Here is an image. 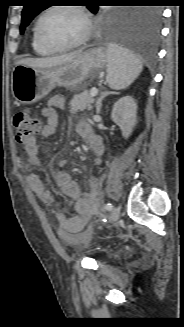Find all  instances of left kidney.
Segmentation results:
<instances>
[{"label": "left kidney", "mask_w": 184, "mask_h": 327, "mask_svg": "<svg viewBox=\"0 0 184 327\" xmlns=\"http://www.w3.org/2000/svg\"><path fill=\"white\" fill-rule=\"evenodd\" d=\"M137 104L130 96L120 98L112 109L111 118L122 131V135L128 138L137 122Z\"/></svg>", "instance_id": "1"}]
</instances>
